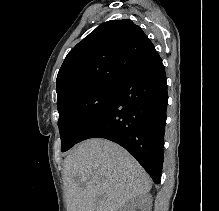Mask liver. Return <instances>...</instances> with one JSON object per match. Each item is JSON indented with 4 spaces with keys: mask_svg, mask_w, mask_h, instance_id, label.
Wrapping results in <instances>:
<instances>
[{
    "mask_svg": "<svg viewBox=\"0 0 219 211\" xmlns=\"http://www.w3.org/2000/svg\"><path fill=\"white\" fill-rule=\"evenodd\" d=\"M63 181L67 211H120L152 187L137 159L103 137L85 139L66 155Z\"/></svg>",
    "mask_w": 219,
    "mask_h": 211,
    "instance_id": "obj_1",
    "label": "liver"
}]
</instances>
